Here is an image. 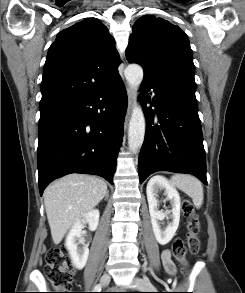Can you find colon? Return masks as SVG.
<instances>
[{
  "instance_id": "colon-1",
  "label": "colon",
  "mask_w": 245,
  "mask_h": 293,
  "mask_svg": "<svg viewBox=\"0 0 245 293\" xmlns=\"http://www.w3.org/2000/svg\"><path fill=\"white\" fill-rule=\"evenodd\" d=\"M184 218L187 223V243L191 253L195 254L200 248V223L189 200H184L181 205ZM174 257L186 265V248L182 239L178 238L172 246ZM44 271L52 285L59 289V293H68V289L73 283V270L70 258L65 248H53L46 255ZM187 274V268H184Z\"/></svg>"
}]
</instances>
